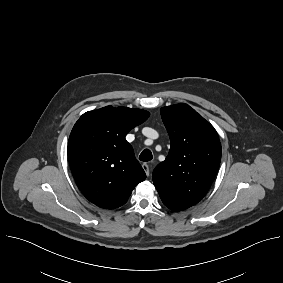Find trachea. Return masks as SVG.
Listing matches in <instances>:
<instances>
[{
    "instance_id": "trachea-1",
    "label": "trachea",
    "mask_w": 283,
    "mask_h": 283,
    "mask_svg": "<svg viewBox=\"0 0 283 283\" xmlns=\"http://www.w3.org/2000/svg\"><path fill=\"white\" fill-rule=\"evenodd\" d=\"M153 156H152V152L149 149H145L142 151V153L139 156V159L143 162H147L152 160Z\"/></svg>"
}]
</instances>
